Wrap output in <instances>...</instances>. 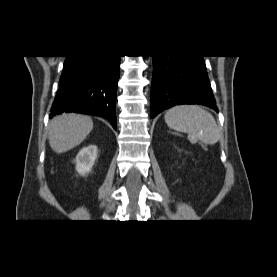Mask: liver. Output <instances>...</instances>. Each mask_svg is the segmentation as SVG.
Wrapping results in <instances>:
<instances>
[{
  "mask_svg": "<svg viewBox=\"0 0 277 277\" xmlns=\"http://www.w3.org/2000/svg\"><path fill=\"white\" fill-rule=\"evenodd\" d=\"M93 129L89 116L63 114L56 116L49 124V144L58 154L67 152L83 142Z\"/></svg>",
  "mask_w": 277,
  "mask_h": 277,
  "instance_id": "1",
  "label": "liver"
}]
</instances>
